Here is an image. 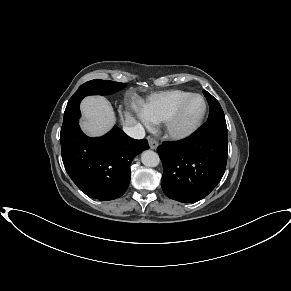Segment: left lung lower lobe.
Segmentation results:
<instances>
[{
	"mask_svg": "<svg viewBox=\"0 0 291 291\" xmlns=\"http://www.w3.org/2000/svg\"><path fill=\"white\" fill-rule=\"evenodd\" d=\"M163 164L162 189L171 199L190 203L207 196L224 175L226 121L206 122L194 135L157 148Z\"/></svg>",
	"mask_w": 291,
	"mask_h": 291,
	"instance_id": "1",
	"label": "left lung lower lobe"
}]
</instances>
